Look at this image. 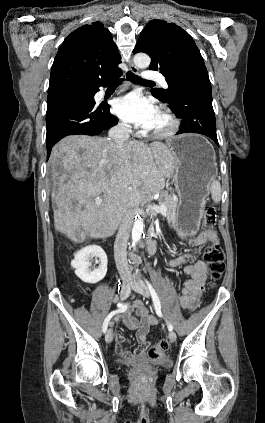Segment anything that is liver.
Here are the masks:
<instances>
[{
    "instance_id": "obj_1",
    "label": "liver",
    "mask_w": 265,
    "mask_h": 423,
    "mask_svg": "<svg viewBox=\"0 0 265 423\" xmlns=\"http://www.w3.org/2000/svg\"><path fill=\"white\" fill-rule=\"evenodd\" d=\"M56 190L52 192L54 226L69 239L106 238L124 213L162 190L174 172V158L161 142L129 141L119 149L101 137L63 138L51 152ZM102 195V203L94 199Z\"/></svg>"
}]
</instances>
